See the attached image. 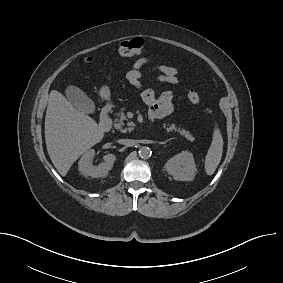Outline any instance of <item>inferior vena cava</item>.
Here are the masks:
<instances>
[{
    "instance_id": "obj_1",
    "label": "inferior vena cava",
    "mask_w": 283,
    "mask_h": 283,
    "mask_svg": "<svg viewBox=\"0 0 283 283\" xmlns=\"http://www.w3.org/2000/svg\"><path fill=\"white\" fill-rule=\"evenodd\" d=\"M119 143L123 144V145H129V144L132 143V140H130V139H120Z\"/></svg>"
}]
</instances>
